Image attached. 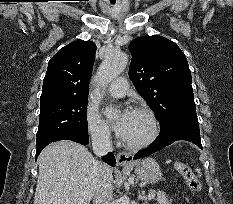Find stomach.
I'll return each instance as SVG.
<instances>
[{
    "label": "stomach",
    "mask_w": 233,
    "mask_h": 204,
    "mask_svg": "<svg viewBox=\"0 0 233 204\" xmlns=\"http://www.w3.org/2000/svg\"><path fill=\"white\" fill-rule=\"evenodd\" d=\"M135 174L142 182L156 183L161 178V169L156 160L146 158L136 163Z\"/></svg>",
    "instance_id": "stomach-1"
}]
</instances>
